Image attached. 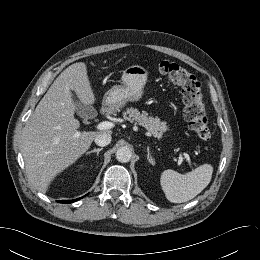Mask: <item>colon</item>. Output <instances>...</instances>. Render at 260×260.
Here are the masks:
<instances>
[{
	"label": "colon",
	"mask_w": 260,
	"mask_h": 260,
	"mask_svg": "<svg viewBox=\"0 0 260 260\" xmlns=\"http://www.w3.org/2000/svg\"><path fill=\"white\" fill-rule=\"evenodd\" d=\"M158 71L170 82L181 87L185 105V119L190 129L200 139L209 140L211 138V130L206 115L200 81L188 69L170 61L160 62Z\"/></svg>",
	"instance_id": "obj_1"
}]
</instances>
